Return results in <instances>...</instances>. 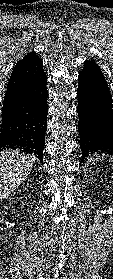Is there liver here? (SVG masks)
Returning <instances> with one entry per match:
<instances>
[{"mask_svg":"<svg viewBox=\"0 0 113 279\" xmlns=\"http://www.w3.org/2000/svg\"><path fill=\"white\" fill-rule=\"evenodd\" d=\"M35 157L19 150L0 152V200L9 196L31 173Z\"/></svg>","mask_w":113,"mask_h":279,"instance_id":"1","label":"liver"}]
</instances>
